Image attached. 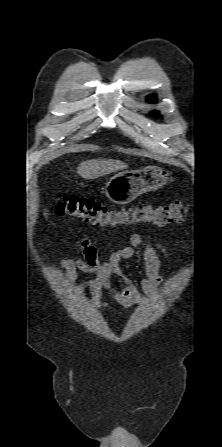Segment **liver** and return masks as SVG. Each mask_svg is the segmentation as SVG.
<instances>
[{"instance_id":"liver-1","label":"liver","mask_w":222,"mask_h":447,"mask_svg":"<svg viewBox=\"0 0 222 447\" xmlns=\"http://www.w3.org/2000/svg\"><path fill=\"white\" fill-rule=\"evenodd\" d=\"M126 168L127 165L120 160L93 159L80 163L77 168V173L82 178L89 180Z\"/></svg>"}]
</instances>
